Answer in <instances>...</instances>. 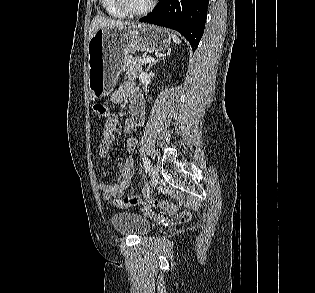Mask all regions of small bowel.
I'll list each match as a JSON object with an SVG mask.
<instances>
[{
    "label": "small bowel",
    "instance_id": "c3829d8e",
    "mask_svg": "<svg viewBox=\"0 0 315 293\" xmlns=\"http://www.w3.org/2000/svg\"><path fill=\"white\" fill-rule=\"evenodd\" d=\"M125 99L130 100L129 115L124 122L123 130L130 133L140 127L144 122V102L138 90L131 82L122 83L113 93L111 100L118 104ZM118 116L109 113L103 124L98 154L101 158L107 156L113 144L115 130L118 124ZM136 138H129L126 142V149L129 155L119 164V178L113 184L104 182L98 183L103 198L106 200L117 198L123 195L124 191L129 187L134 176V158L132 156L136 149ZM161 216H168V213H161Z\"/></svg>",
    "mask_w": 315,
    "mask_h": 293
}]
</instances>
